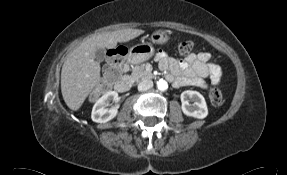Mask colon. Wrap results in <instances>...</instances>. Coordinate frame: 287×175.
I'll list each match as a JSON object with an SVG mask.
<instances>
[{
    "instance_id": "colon-1",
    "label": "colon",
    "mask_w": 287,
    "mask_h": 175,
    "mask_svg": "<svg viewBox=\"0 0 287 175\" xmlns=\"http://www.w3.org/2000/svg\"><path fill=\"white\" fill-rule=\"evenodd\" d=\"M193 43L190 41H183L178 45V51L181 54H189L193 50ZM126 49L119 47L112 51L111 55L117 59H120L126 55ZM119 78V72L117 70L112 71L111 82H115ZM209 99L212 104L219 105L222 102V94L220 90L216 87H210L209 89Z\"/></svg>"
}]
</instances>
